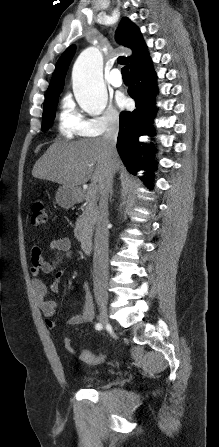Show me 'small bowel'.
I'll list each match as a JSON object with an SVG mask.
<instances>
[{"instance_id":"c3829d8e","label":"small bowel","mask_w":219,"mask_h":447,"mask_svg":"<svg viewBox=\"0 0 219 447\" xmlns=\"http://www.w3.org/2000/svg\"><path fill=\"white\" fill-rule=\"evenodd\" d=\"M50 248L56 254L54 258H45L40 246H35L33 248L31 273L33 275V294L45 317V324L49 329H55L58 326L55 320V316L57 314V303L50 297L59 291L60 282L68 271V268H58L63 256L70 259L73 252L71 250V243L68 238H59L52 241ZM51 273L54 274L53 280L50 283H47L43 279L42 275ZM82 290L84 292L82 312L69 318L66 322L67 325L74 326L83 323H90L94 320L95 307L90 293L89 284L84 283L82 285ZM66 340L69 339L66 338L64 342ZM84 352L85 351H83L80 355V358L83 361Z\"/></svg>"}]
</instances>
